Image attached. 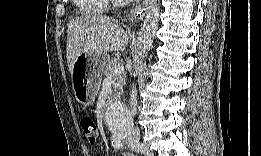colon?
Listing matches in <instances>:
<instances>
[{"instance_id":"1","label":"colon","mask_w":261,"mask_h":156,"mask_svg":"<svg viewBox=\"0 0 261 156\" xmlns=\"http://www.w3.org/2000/svg\"><path fill=\"white\" fill-rule=\"evenodd\" d=\"M80 125L88 142L94 144L99 136V130L95 121L89 116H84L80 120Z\"/></svg>"}]
</instances>
